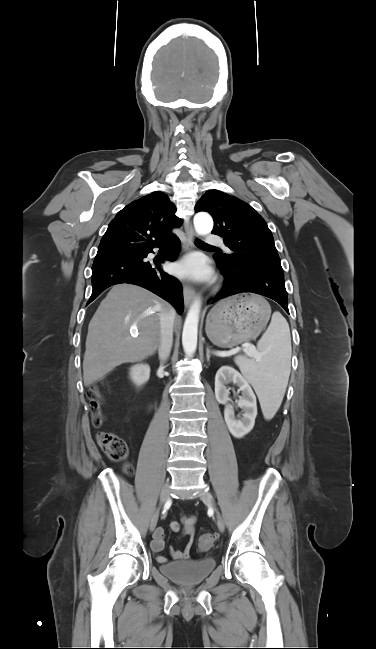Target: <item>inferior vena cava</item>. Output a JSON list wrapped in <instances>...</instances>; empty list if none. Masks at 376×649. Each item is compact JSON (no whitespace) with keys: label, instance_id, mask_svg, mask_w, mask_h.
I'll use <instances>...</instances> for the list:
<instances>
[{"label":"inferior vena cava","instance_id":"inferior-vena-cava-1","mask_svg":"<svg viewBox=\"0 0 376 649\" xmlns=\"http://www.w3.org/2000/svg\"><path fill=\"white\" fill-rule=\"evenodd\" d=\"M174 319L175 310L173 308L164 311L160 316V341L158 355L161 366H163L168 359L172 349Z\"/></svg>","mask_w":376,"mask_h":649}]
</instances>
